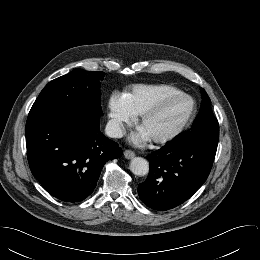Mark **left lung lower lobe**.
<instances>
[{"label":"left lung lower lobe","mask_w":260,"mask_h":260,"mask_svg":"<svg viewBox=\"0 0 260 260\" xmlns=\"http://www.w3.org/2000/svg\"><path fill=\"white\" fill-rule=\"evenodd\" d=\"M217 145L202 142H168L147 156L150 172L138 194L148 207L165 211L189 199L206 181Z\"/></svg>","instance_id":"left-lung-lower-lobe-1"}]
</instances>
